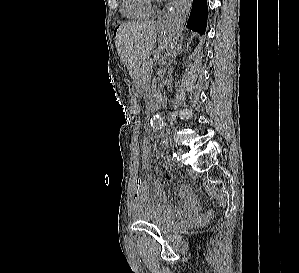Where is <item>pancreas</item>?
<instances>
[{"label":"pancreas","mask_w":299,"mask_h":273,"mask_svg":"<svg viewBox=\"0 0 299 273\" xmlns=\"http://www.w3.org/2000/svg\"><path fill=\"white\" fill-rule=\"evenodd\" d=\"M152 74V62L149 58H146L142 65H141V75L145 79V81H148Z\"/></svg>","instance_id":"pancreas-1"}]
</instances>
